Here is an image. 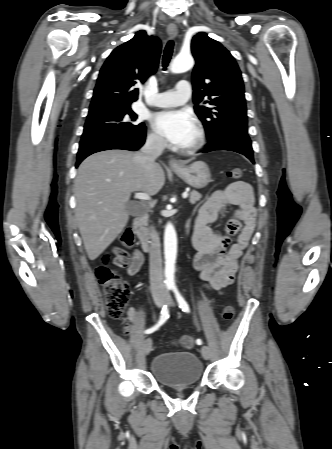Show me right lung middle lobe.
I'll return each mask as SVG.
<instances>
[{
	"label": "right lung middle lobe",
	"mask_w": 332,
	"mask_h": 449,
	"mask_svg": "<svg viewBox=\"0 0 332 449\" xmlns=\"http://www.w3.org/2000/svg\"><path fill=\"white\" fill-rule=\"evenodd\" d=\"M136 119L137 115L130 107L89 112L82 139L101 134L125 136L138 134L145 129V125L136 124Z\"/></svg>",
	"instance_id": "dd1d6c3e"
}]
</instances>
